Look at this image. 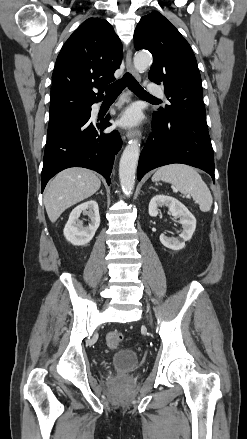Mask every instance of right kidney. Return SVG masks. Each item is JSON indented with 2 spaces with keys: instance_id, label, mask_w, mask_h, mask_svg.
<instances>
[{
  "instance_id": "1",
  "label": "right kidney",
  "mask_w": 247,
  "mask_h": 439,
  "mask_svg": "<svg viewBox=\"0 0 247 439\" xmlns=\"http://www.w3.org/2000/svg\"><path fill=\"white\" fill-rule=\"evenodd\" d=\"M88 215L91 223L87 227H83L79 220L81 214ZM100 225L99 207L95 200H90L78 205L70 213L68 222L64 228V236L66 240L76 246L88 244L95 235Z\"/></svg>"
}]
</instances>
